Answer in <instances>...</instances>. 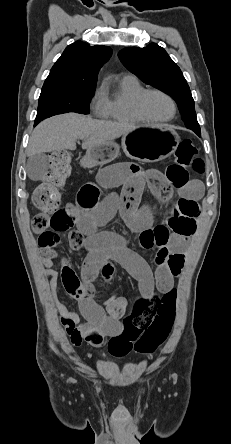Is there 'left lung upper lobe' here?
<instances>
[{"mask_svg": "<svg viewBox=\"0 0 231 444\" xmlns=\"http://www.w3.org/2000/svg\"><path fill=\"white\" fill-rule=\"evenodd\" d=\"M119 57L125 67L143 82L173 97L187 128L200 136L190 88L180 68L162 47L155 43L144 48L127 47L119 52Z\"/></svg>", "mask_w": 231, "mask_h": 444, "instance_id": "obj_1", "label": "left lung upper lobe"}]
</instances>
